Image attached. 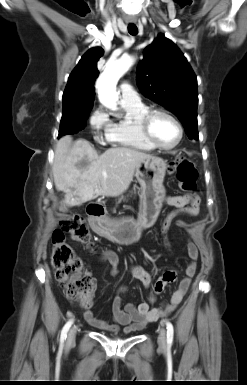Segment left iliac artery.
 <instances>
[{
  "instance_id": "1",
  "label": "left iliac artery",
  "mask_w": 247,
  "mask_h": 385,
  "mask_svg": "<svg viewBox=\"0 0 247 385\" xmlns=\"http://www.w3.org/2000/svg\"><path fill=\"white\" fill-rule=\"evenodd\" d=\"M166 328H167V343L172 344L173 342V336H174V329L171 322L166 321Z\"/></svg>"
}]
</instances>
